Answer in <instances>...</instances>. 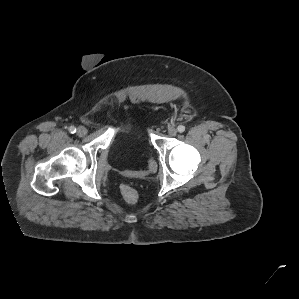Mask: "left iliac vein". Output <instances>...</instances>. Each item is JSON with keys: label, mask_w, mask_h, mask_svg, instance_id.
<instances>
[{"label": "left iliac vein", "mask_w": 299, "mask_h": 299, "mask_svg": "<svg viewBox=\"0 0 299 299\" xmlns=\"http://www.w3.org/2000/svg\"><path fill=\"white\" fill-rule=\"evenodd\" d=\"M168 134L170 135V136H176V134H177V129L176 128H174V127H170L169 129H168Z\"/></svg>", "instance_id": "left-iliac-vein-1"}]
</instances>
